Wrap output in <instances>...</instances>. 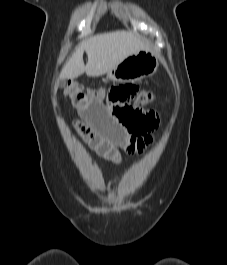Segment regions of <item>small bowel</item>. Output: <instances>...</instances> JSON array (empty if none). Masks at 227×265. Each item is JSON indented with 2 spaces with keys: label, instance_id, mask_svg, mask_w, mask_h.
Listing matches in <instances>:
<instances>
[{
  "label": "small bowel",
  "instance_id": "obj_1",
  "mask_svg": "<svg viewBox=\"0 0 227 265\" xmlns=\"http://www.w3.org/2000/svg\"><path fill=\"white\" fill-rule=\"evenodd\" d=\"M78 113L75 128L88 146L101 157L119 163L122 152L141 154L153 143L149 134L137 136L114 118L105 107L102 97L88 100L72 96Z\"/></svg>",
  "mask_w": 227,
  "mask_h": 265
}]
</instances>
